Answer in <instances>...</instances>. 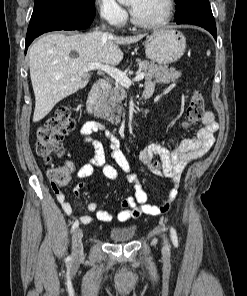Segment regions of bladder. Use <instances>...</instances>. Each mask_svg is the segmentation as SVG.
<instances>
[{"mask_svg": "<svg viewBox=\"0 0 247 296\" xmlns=\"http://www.w3.org/2000/svg\"><path fill=\"white\" fill-rule=\"evenodd\" d=\"M135 233L134 227H115L110 232V238L113 242L124 243L130 241Z\"/></svg>", "mask_w": 247, "mask_h": 296, "instance_id": "bladder-1", "label": "bladder"}]
</instances>
